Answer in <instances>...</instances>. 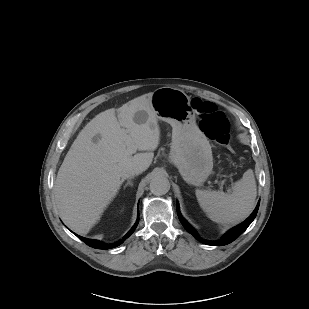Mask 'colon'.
Returning <instances> with one entry per match:
<instances>
[{
	"label": "colon",
	"mask_w": 309,
	"mask_h": 309,
	"mask_svg": "<svg viewBox=\"0 0 309 309\" xmlns=\"http://www.w3.org/2000/svg\"><path fill=\"white\" fill-rule=\"evenodd\" d=\"M192 108L199 119L201 130L212 140L230 149L228 122L218 107L200 98L192 100Z\"/></svg>",
	"instance_id": "5ec220e1"
}]
</instances>
